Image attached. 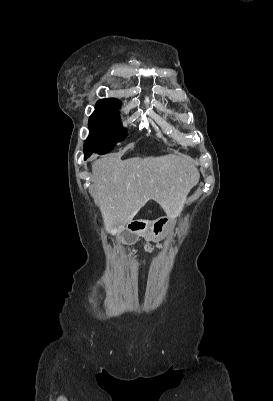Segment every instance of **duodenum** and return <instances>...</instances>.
I'll return each instance as SVG.
<instances>
[{
    "label": "duodenum",
    "mask_w": 273,
    "mask_h": 401,
    "mask_svg": "<svg viewBox=\"0 0 273 401\" xmlns=\"http://www.w3.org/2000/svg\"><path fill=\"white\" fill-rule=\"evenodd\" d=\"M129 231L131 233H138L145 228V223L143 221H133L129 226Z\"/></svg>",
    "instance_id": "410a0bca"
}]
</instances>
